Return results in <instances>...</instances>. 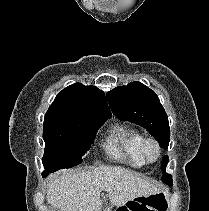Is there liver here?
Returning a JSON list of instances; mask_svg holds the SVG:
<instances>
[{"instance_id":"1","label":"liver","mask_w":209,"mask_h":211,"mask_svg":"<svg viewBox=\"0 0 209 211\" xmlns=\"http://www.w3.org/2000/svg\"><path fill=\"white\" fill-rule=\"evenodd\" d=\"M159 190L155 183L124 168L100 166L54 173L48 178L46 198L59 211H102V191L108 193L111 205L121 207Z\"/></svg>"}]
</instances>
